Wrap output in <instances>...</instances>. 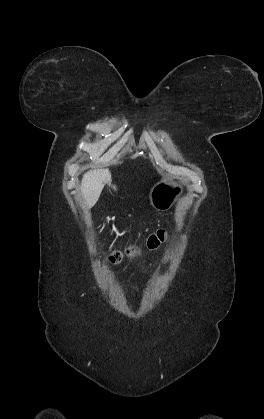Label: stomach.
Here are the masks:
<instances>
[{"instance_id": "1", "label": "stomach", "mask_w": 264, "mask_h": 419, "mask_svg": "<svg viewBox=\"0 0 264 419\" xmlns=\"http://www.w3.org/2000/svg\"><path fill=\"white\" fill-rule=\"evenodd\" d=\"M184 188L179 182L163 179L156 183L149 192V201L158 211H168L183 195Z\"/></svg>"}]
</instances>
